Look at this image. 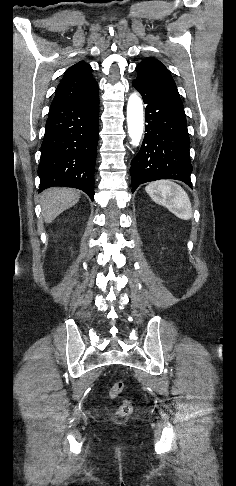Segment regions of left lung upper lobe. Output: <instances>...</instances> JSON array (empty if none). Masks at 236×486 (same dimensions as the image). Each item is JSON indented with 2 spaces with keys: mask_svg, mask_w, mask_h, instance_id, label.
<instances>
[{
  "mask_svg": "<svg viewBox=\"0 0 236 486\" xmlns=\"http://www.w3.org/2000/svg\"><path fill=\"white\" fill-rule=\"evenodd\" d=\"M135 71L137 72L136 79L148 83L159 93L183 105L176 84L169 70L162 62L155 58L147 57L137 65Z\"/></svg>",
  "mask_w": 236,
  "mask_h": 486,
  "instance_id": "obj_1",
  "label": "left lung upper lobe"
}]
</instances>
